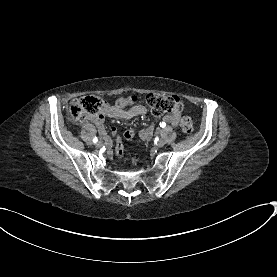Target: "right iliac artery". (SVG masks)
Masks as SVG:
<instances>
[{
  "label": "right iliac artery",
  "mask_w": 277,
  "mask_h": 277,
  "mask_svg": "<svg viewBox=\"0 0 277 277\" xmlns=\"http://www.w3.org/2000/svg\"><path fill=\"white\" fill-rule=\"evenodd\" d=\"M98 141L97 137L93 138V142L96 143Z\"/></svg>",
  "instance_id": "obj_1"
}]
</instances>
